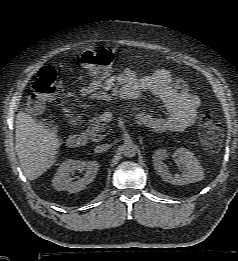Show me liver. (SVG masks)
I'll return each mask as SVG.
<instances>
[{"mask_svg":"<svg viewBox=\"0 0 238 261\" xmlns=\"http://www.w3.org/2000/svg\"><path fill=\"white\" fill-rule=\"evenodd\" d=\"M15 148L21 167L29 180H35L55 162L59 140L31 115L16 116Z\"/></svg>","mask_w":238,"mask_h":261,"instance_id":"liver-1","label":"liver"}]
</instances>
